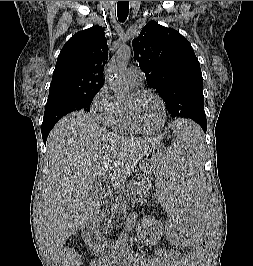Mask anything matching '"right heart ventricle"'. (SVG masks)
I'll list each match as a JSON object with an SVG mask.
<instances>
[{"mask_svg":"<svg viewBox=\"0 0 253 266\" xmlns=\"http://www.w3.org/2000/svg\"><path fill=\"white\" fill-rule=\"evenodd\" d=\"M133 89L136 87L131 86ZM109 126L121 134H134L136 131L132 128L126 111V104L116 101V109L109 123Z\"/></svg>","mask_w":253,"mask_h":266,"instance_id":"e07e8e85","label":"right heart ventricle"}]
</instances>
